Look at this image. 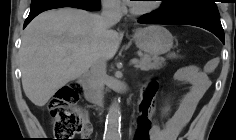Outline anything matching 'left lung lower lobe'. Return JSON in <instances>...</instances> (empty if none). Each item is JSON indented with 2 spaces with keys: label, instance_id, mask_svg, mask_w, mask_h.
<instances>
[{
  "label": "left lung lower lobe",
  "instance_id": "0a47b994",
  "mask_svg": "<svg viewBox=\"0 0 236 140\" xmlns=\"http://www.w3.org/2000/svg\"><path fill=\"white\" fill-rule=\"evenodd\" d=\"M138 22L143 24H179L198 26L212 32L224 43V30L220 18L184 14L165 16L158 11L147 15Z\"/></svg>",
  "mask_w": 236,
  "mask_h": 140
}]
</instances>
